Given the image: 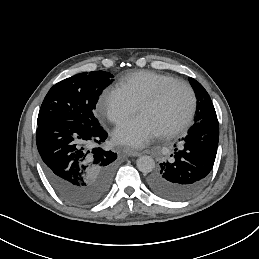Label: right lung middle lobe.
I'll return each mask as SVG.
<instances>
[{
  "label": "right lung middle lobe",
  "instance_id": "1",
  "mask_svg": "<svg viewBox=\"0 0 259 259\" xmlns=\"http://www.w3.org/2000/svg\"><path fill=\"white\" fill-rule=\"evenodd\" d=\"M113 76L105 71L79 73L55 84L41 105L37 125L69 120L87 126H99L94 109L103 89Z\"/></svg>",
  "mask_w": 259,
  "mask_h": 259
}]
</instances>
